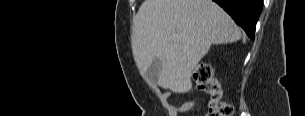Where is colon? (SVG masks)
Here are the masks:
<instances>
[{
    "label": "colon",
    "mask_w": 305,
    "mask_h": 116,
    "mask_svg": "<svg viewBox=\"0 0 305 116\" xmlns=\"http://www.w3.org/2000/svg\"><path fill=\"white\" fill-rule=\"evenodd\" d=\"M193 79L199 88L209 95L206 116H231L233 114V107L223 100L221 88L213 77L210 66L198 65L193 71Z\"/></svg>",
    "instance_id": "obj_1"
}]
</instances>
